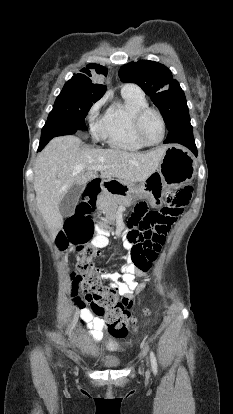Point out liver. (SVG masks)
<instances>
[{
  "label": "liver",
  "instance_id": "1",
  "mask_svg": "<svg viewBox=\"0 0 233 414\" xmlns=\"http://www.w3.org/2000/svg\"><path fill=\"white\" fill-rule=\"evenodd\" d=\"M167 147L147 152L82 147L80 138L67 135L52 139L38 155L34 167L36 203L51 235L63 226L60 203L72 186H85L103 167L104 178L123 183L142 182L160 165Z\"/></svg>",
  "mask_w": 233,
  "mask_h": 414
}]
</instances>
